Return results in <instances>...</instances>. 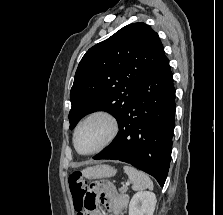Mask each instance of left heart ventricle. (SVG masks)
<instances>
[{
    "label": "left heart ventricle",
    "mask_w": 223,
    "mask_h": 215,
    "mask_svg": "<svg viewBox=\"0 0 223 215\" xmlns=\"http://www.w3.org/2000/svg\"><path fill=\"white\" fill-rule=\"evenodd\" d=\"M108 126L102 120H92L81 126L76 136V146L81 152L96 149L106 139Z\"/></svg>",
    "instance_id": "1"
}]
</instances>
